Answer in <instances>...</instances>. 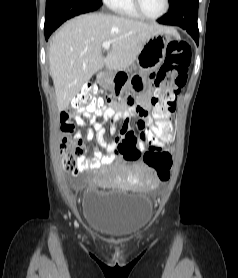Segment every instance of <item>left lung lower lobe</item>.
I'll return each mask as SVG.
<instances>
[{
  "instance_id": "1",
  "label": "left lung lower lobe",
  "mask_w": 238,
  "mask_h": 278,
  "mask_svg": "<svg viewBox=\"0 0 238 278\" xmlns=\"http://www.w3.org/2000/svg\"><path fill=\"white\" fill-rule=\"evenodd\" d=\"M198 0H172L169 13L157 21L165 25H177L185 29L198 44L199 30L197 24Z\"/></svg>"
}]
</instances>
